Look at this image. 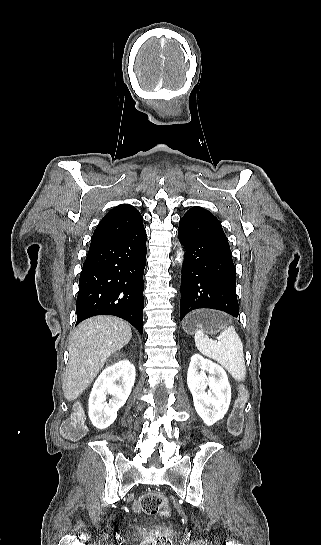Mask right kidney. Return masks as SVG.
<instances>
[{
  "label": "right kidney",
  "mask_w": 321,
  "mask_h": 545,
  "mask_svg": "<svg viewBox=\"0 0 321 545\" xmlns=\"http://www.w3.org/2000/svg\"><path fill=\"white\" fill-rule=\"evenodd\" d=\"M135 367L129 361H118L102 371L89 397V419L96 429H107L114 423L117 411L125 405L135 383ZM107 395H111L106 403Z\"/></svg>",
  "instance_id": "right-kidney-1"
}]
</instances>
